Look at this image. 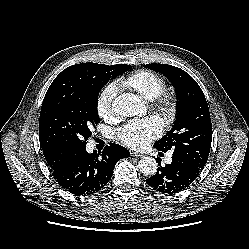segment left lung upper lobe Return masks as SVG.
<instances>
[{"mask_svg":"<svg viewBox=\"0 0 249 249\" xmlns=\"http://www.w3.org/2000/svg\"><path fill=\"white\" fill-rule=\"evenodd\" d=\"M148 69L166 76L177 95V117L173 128L154 147L172 150L203 169L211 148L212 125L205 96L197 82L184 70L168 64H148Z\"/></svg>","mask_w":249,"mask_h":249,"instance_id":"5c2ea615","label":"left lung upper lobe"}]
</instances>
